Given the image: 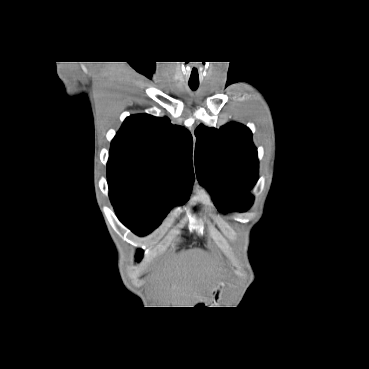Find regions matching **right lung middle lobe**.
<instances>
[{"label":"right lung middle lobe","mask_w":369,"mask_h":369,"mask_svg":"<svg viewBox=\"0 0 369 369\" xmlns=\"http://www.w3.org/2000/svg\"><path fill=\"white\" fill-rule=\"evenodd\" d=\"M112 205L120 221L138 236H145L158 227L175 203L157 193L136 188L130 181L108 177ZM138 250L136 258H141Z\"/></svg>","instance_id":"obj_1"}]
</instances>
